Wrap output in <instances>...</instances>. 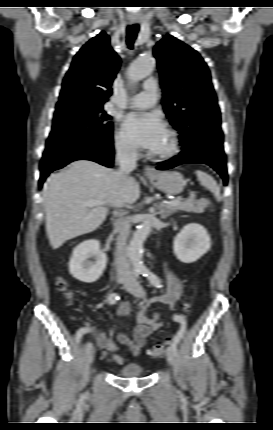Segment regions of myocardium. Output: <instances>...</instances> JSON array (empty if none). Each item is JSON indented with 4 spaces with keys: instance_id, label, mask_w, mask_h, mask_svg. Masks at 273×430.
<instances>
[{
    "instance_id": "1",
    "label": "myocardium",
    "mask_w": 273,
    "mask_h": 430,
    "mask_svg": "<svg viewBox=\"0 0 273 430\" xmlns=\"http://www.w3.org/2000/svg\"><path fill=\"white\" fill-rule=\"evenodd\" d=\"M167 134L170 138V146L169 148L164 152H153L152 156L153 158L157 160H168L180 152V137L176 130L174 129H167Z\"/></svg>"
}]
</instances>
